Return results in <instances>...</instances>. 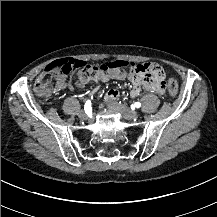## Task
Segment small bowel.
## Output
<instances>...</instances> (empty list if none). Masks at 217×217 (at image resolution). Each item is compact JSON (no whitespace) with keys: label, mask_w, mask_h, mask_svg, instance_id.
Instances as JSON below:
<instances>
[{"label":"small bowel","mask_w":217,"mask_h":217,"mask_svg":"<svg viewBox=\"0 0 217 217\" xmlns=\"http://www.w3.org/2000/svg\"><path fill=\"white\" fill-rule=\"evenodd\" d=\"M126 78H127V74L124 70H104L100 67H97L89 75L78 74V81L76 83V87L82 88L90 81L93 82H108L111 80L123 81ZM58 83H59V88H62L66 83L65 77L60 76ZM147 88L157 94H162L164 92V86L160 83L147 84ZM139 93H140V88L135 82L130 92V96L134 98L138 96ZM119 96H120L119 90L117 89L108 90L104 97V104L111 103L112 101L119 98Z\"/></svg>","instance_id":"c3829d8e"}]
</instances>
